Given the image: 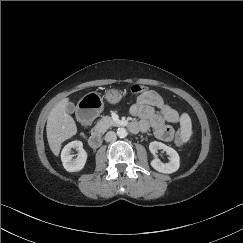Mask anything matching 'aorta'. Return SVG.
I'll list each match as a JSON object with an SVG mask.
<instances>
[{
  "mask_svg": "<svg viewBox=\"0 0 243 243\" xmlns=\"http://www.w3.org/2000/svg\"><path fill=\"white\" fill-rule=\"evenodd\" d=\"M117 135L119 138H125L127 136V130L125 128H118Z\"/></svg>",
  "mask_w": 243,
  "mask_h": 243,
  "instance_id": "aorta-1",
  "label": "aorta"
}]
</instances>
